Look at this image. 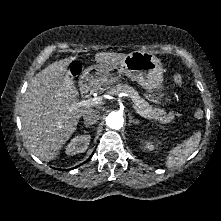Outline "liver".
Masks as SVG:
<instances>
[{
	"label": "liver",
	"instance_id": "obj_1",
	"mask_svg": "<svg viewBox=\"0 0 221 221\" xmlns=\"http://www.w3.org/2000/svg\"><path fill=\"white\" fill-rule=\"evenodd\" d=\"M126 54L99 52L95 61L105 67L120 65ZM77 57H70L48 65L29 83L23 97L20 118L22 134L27 147L39 159H54L63 145L76 131L79 119L91 107H69L79 92L72 81L67 68ZM100 78L94 85L104 82Z\"/></svg>",
	"mask_w": 221,
	"mask_h": 221
}]
</instances>
